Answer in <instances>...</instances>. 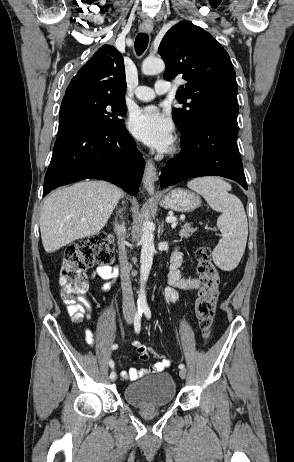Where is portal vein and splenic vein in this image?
<instances>
[{
    "label": "portal vein and splenic vein",
    "instance_id": "1",
    "mask_svg": "<svg viewBox=\"0 0 294 462\" xmlns=\"http://www.w3.org/2000/svg\"><path fill=\"white\" fill-rule=\"evenodd\" d=\"M166 222L172 223L173 225H175L177 223V219L175 217L169 216L166 218Z\"/></svg>",
    "mask_w": 294,
    "mask_h": 462
}]
</instances>
